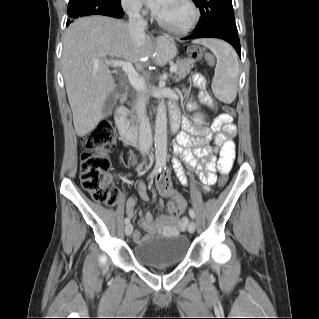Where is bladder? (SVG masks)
<instances>
[{"mask_svg":"<svg viewBox=\"0 0 319 319\" xmlns=\"http://www.w3.org/2000/svg\"><path fill=\"white\" fill-rule=\"evenodd\" d=\"M191 242L182 234L152 236L135 245L134 256L143 265H176L189 254Z\"/></svg>","mask_w":319,"mask_h":319,"instance_id":"1","label":"bladder"}]
</instances>
